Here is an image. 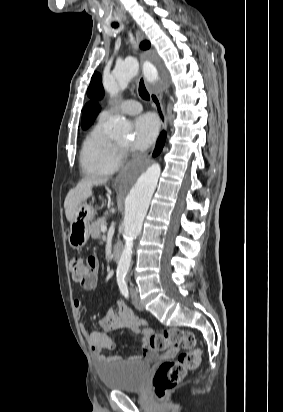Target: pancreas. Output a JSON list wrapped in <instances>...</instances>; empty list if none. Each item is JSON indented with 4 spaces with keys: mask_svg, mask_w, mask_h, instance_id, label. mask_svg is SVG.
Returning <instances> with one entry per match:
<instances>
[{
    "mask_svg": "<svg viewBox=\"0 0 283 412\" xmlns=\"http://www.w3.org/2000/svg\"><path fill=\"white\" fill-rule=\"evenodd\" d=\"M106 225L104 218L94 221L90 226V234L93 239H99L101 237V226Z\"/></svg>",
    "mask_w": 283,
    "mask_h": 412,
    "instance_id": "pancreas-1",
    "label": "pancreas"
}]
</instances>
